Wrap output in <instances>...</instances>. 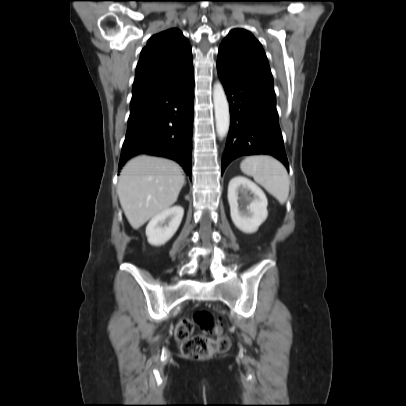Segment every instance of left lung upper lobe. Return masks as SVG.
<instances>
[{
	"instance_id": "obj_1",
	"label": "left lung upper lobe",
	"mask_w": 406,
	"mask_h": 406,
	"mask_svg": "<svg viewBox=\"0 0 406 406\" xmlns=\"http://www.w3.org/2000/svg\"><path fill=\"white\" fill-rule=\"evenodd\" d=\"M218 57L228 59L273 81L267 57L260 42L247 30L234 29L222 41Z\"/></svg>"
}]
</instances>
